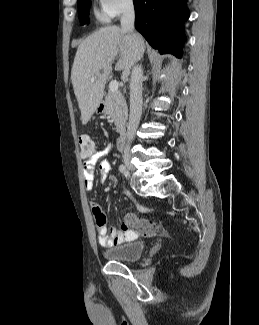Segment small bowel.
<instances>
[{
    "label": "small bowel",
    "mask_w": 259,
    "mask_h": 325,
    "mask_svg": "<svg viewBox=\"0 0 259 325\" xmlns=\"http://www.w3.org/2000/svg\"><path fill=\"white\" fill-rule=\"evenodd\" d=\"M109 149L95 151L91 157L83 162V178L86 190L90 191L94 187L95 168L98 166L100 171V180L104 183L111 172V164L104 157ZM121 194L132 198V194L128 190H122ZM90 210L96 225L98 242L103 247H112L132 240L137 237V233L133 231L125 222L121 226V230L117 228L108 229L107 219L101 207L97 203L90 204Z\"/></svg>",
    "instance_id": "small-bowel-1"
}]
</instances>
